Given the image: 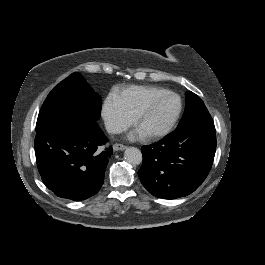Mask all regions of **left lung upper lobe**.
Returning a JSON list of instances; mask_svg holds the SVG:
<instances>
[{
  "instance_id": "left-lung-upper-lobe-1",
  "label": "left lung upper lobe",
  "mask_w": 265,
  "mask_h": 265,
  "mask_svg": "<svg viewBox=\"0 0 265 265\" xmlns=\"http://www.w3.org/2000/svg\"><path fill=\"white\" fill-rule=\"evenodd\" d=\"M185 103H186L185 112L179 124L209 114L201 98L191 91L185 94Z\"/></svg>"
}]
</instances>
